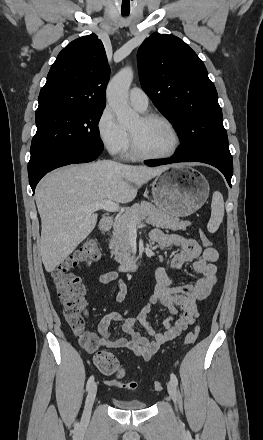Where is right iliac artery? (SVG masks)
Instances as JSON below:
<instances>
[{
  "mask_svg": "<svg viewBox=\"0 0 263 440\" xmlns=\"http://www.w3.org/2000/svg\"><path fill=\"white\" fill-rule=\"evenodd\" d=\"M93 383H94V376H90V378L87 381L86 390H89L92 387Z\"/></svg>",
  "mask_w": 263,
  "mask_h": 440,
  "instance_id": "obj_1",
  "label": "right iliac artery"
}]
</instances>
